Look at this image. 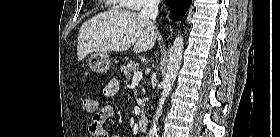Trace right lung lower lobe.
I'll list each match as a JSON object with an SVG mask.
<instances>
[{"label":"right lung lower lobe","mask_w":280,"mask_h":137,"mask_svg":"<svg viewBox=\"0 0 280 137\" xmlns=\"http://www.w3.org/2000/svg\"><path fill=\"white\" fill-rule=\"evenodd\" d=\"M192 0H166V4L171 6L170 17L175 20L182 19L183 15L188 10Z\"/></svg>","instance_id":"98d812e1"}]
</instances>
